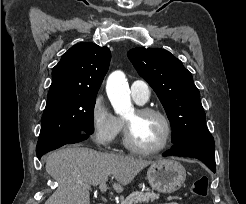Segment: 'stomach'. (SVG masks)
Segmentation results:
<instances>
[{"mask_svg":"<svg viewBox=\"0 0 246 204\" xmlns=\"http://www.w3.org/2000/svg\"><path fill=\"white\" fill-rule=\"evenodd\" d=\"M147 179L153 190L161 193H173L184 184L186 170L178 161L158 160L148 168Z\"/></svg>","mask_w":246,"mask_h":204,"instance_id":"stomach-1","label":"stomach"}]
</instances>
